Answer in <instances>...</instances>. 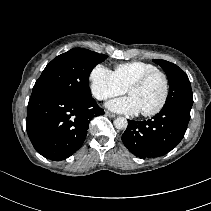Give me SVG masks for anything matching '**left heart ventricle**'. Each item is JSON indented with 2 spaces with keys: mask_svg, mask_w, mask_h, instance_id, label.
<instances>
[{
  "mask_svg": "<svg viewBox=\"0 0 211 211\" xmlns=\"http://www.w3.org/2000/svg\"><path fill=\"white\" fill-rule=\"evenodd\" d=\"M164 94V80L160 75L152 77L143 86L132 89L129 96L136 101L140 112L150 111L158 106Z\"/></svg>",
  "mask_w": 211,
  "mask_h": 211,
  "instance_id": "b2bd125f",
  "label": "left heart ventricle"
}]
</instances>
